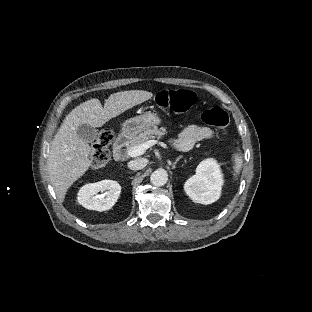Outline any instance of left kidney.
<instances>
[{"mask_svg": "<svg viewBox=\"0 0 312 312\" xmlns=\"http://www.w3.org/2000/svg\"><path fill=\"white\" fill-rule=\"evenodd\" d=\"M223 175L213 158L203 160L196 168V174L184 184L186 194L196 203L211 204L221 195Z\"/></svg>", "mask_w": 312, "mask_h": 312, "instance_id": "left-kidney-1", "label": "left kidney"}]
</instances>
